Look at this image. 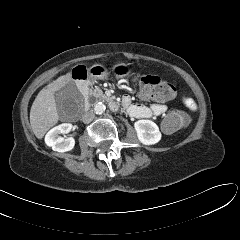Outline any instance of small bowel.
<instances>
[{"instance_id": "c3829d8e", "label": "small bowel", "mask_w": 240, "mask_h": 240, "mask_svg": "<svg viewBox=\"0 0 240 240\" xmlns=\"http://www.w3.org/2000/svg\"><path fill=\"white\" fill-rule=\"evenodd\" d=\"M182 103L190 110L196 109V104L192 98L182 97ZM122 105L127 113L134 118H153L162 116L167 111V105L164 103H153L149 106L135 103L129 96H124Z\"/></svg>"}]
</instances>
